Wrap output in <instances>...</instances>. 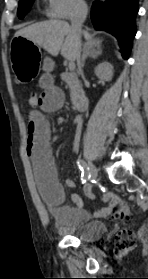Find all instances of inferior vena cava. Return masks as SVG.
I'll return each instance as SVG.
<instances>
[{
  "label": "inferior vena cava",
  "instance_id": "602c4592",
  "mask_svg": "<svg viewBox=\"0 0 148 279\" xmlns=\"http://www.w3.org/2000/svg\"><path fill=\"white\" fill-rule=\"evenodd\" d=\"M88 14V7L86 4H81L78 6L72 20H71V29L75 35L76 39V59L78 68L81 69V34H82V25L86 20Z\"/></svg>",
  "mask_w": 148,
  "mask_h": 279
}]
</instances>
